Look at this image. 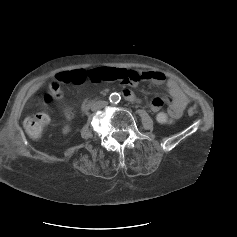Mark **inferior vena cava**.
<instances>
[{"label":"inferior vena cava","instance_id":"inferior-vena-cava-1","mask_svg":"<svg viewBox=\"0 0 237 237\" xmlns=\"http://www.w3.org/2000/svg\"><path fill=\"white\" fill-rule=\"evenodd\" d=\"M107 104H108V102H106V101H96L91 105V110L97 111V110L102 109L105 106H107Z\"/></svg>","mask_w":237,"mask_h":237}]
</instances>
